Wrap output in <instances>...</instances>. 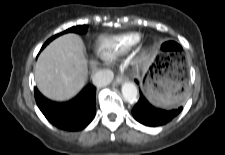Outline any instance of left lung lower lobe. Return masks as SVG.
Instances as JSON below:
<instances>
[{
    "mask_svg": "<svg viewBox=\"0 0 225 155\" xmlns=\"http://www.w3.org/2000/svg\"><path fill=\"white\" fill-rule=\"evenodd\" d=\"M181 111L182 107L170 111L158 109L151 105L140 92L139 101L133 107L132 115L138 122L143 125L157 127L167 124Z\"/></svg>",
    "mask_w": 225,
    "mask_h": 155,
    "instance_id": "0a47b994",
    "label": "left lung lower lobe"
}]
</instances>
